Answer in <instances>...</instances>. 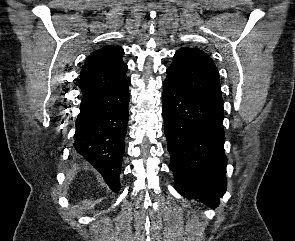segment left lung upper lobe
Wrapping results in <instances>:
<instances>
[{"instance_id": "left-lung-upper-lobe-1", "label": "left lung upper lobe", "mask_w": 295, "mask_h": 241, "mask_svg": "<svg viewBox=\"0 0 295 241\" xmlns=\"http://www.w3.org/2000/svg\"><path fill=\"white\" fill-rule=\"evenodd\" d=\"M167 71L195 94L223 104L218 70L202 50L189 47L179 49Z\"/></svg>"}]
</instances>
